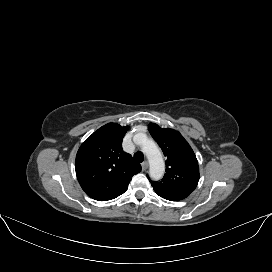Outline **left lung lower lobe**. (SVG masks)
Here are the masks:
<instances>
[{"label": "left lung lower lobe", "instance_id": "0a47b994", "mask_svg": "<svg viewBox=\"0 0 272 272\" xmlns=\"http://www.w3.org/2000/svg\"><path fill=\"white\" fill-rule=\"evenodd\" d=\"M161 197H162V196H161ZM162 198L167 199V198H165V197H162ZM167 200L174 201V200H171V199H167Z\"/></svg>", "mask_w": 272, "mask_h": 272}]
</instances>
